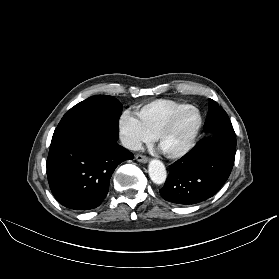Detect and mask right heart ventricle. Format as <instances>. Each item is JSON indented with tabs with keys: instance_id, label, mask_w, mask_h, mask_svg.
<instances>
[{
	"instance_id": "1",
	"label": "right heart ventricle",
	"mask_w": 279,
	"mask_h": 279,
	"mask_svg": "<svg viewBox=\"0 0 279 279\" xmlns=\"http://www.w3.org/2000/svg\"><path fill=\"white\" fill-rule=\"evenodd\" d=\"M187 105L170 99H156L137 105L135 110L143 127L151 136H155L172 113Z\"/></svg>"
}]
</instances>
